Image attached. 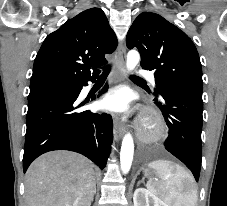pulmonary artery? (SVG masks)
I'll use <instances>...</instances> for the list:
<instances>
[{
    "label": "pulmonary artery",
    "mask_w": 227,
    "mask_h": 206,
    "mask_svg": "<svg viewBox=\"0 0 227 206\" xmlns=\"http://www.w3.org/2000/svg\"><path fill=\"white\" fill-rule=\"evenodd\" d=\"M139 73H140V75L143 76V77H146V78H149V79H151V80H154L152 73L149 72V71L141 70Z\"/></svg>",
    "instance_id": "1"
}]
</instances>
